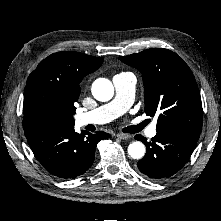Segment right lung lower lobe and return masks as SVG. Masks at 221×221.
<instances>
[{
  "label": "right lung lower lobe",
  "mask_w": 221,
  "mask_h": 221,
  "mask_svg": "<svg viewBox=\"0 0 221 221\" xmlns=\"http://www.w3.org/2000/svg\"><path fill=\"white\" fill-rule=\"evenodd\" d=\"M24 128L27 141L43 167L66 179L85 173L94 161L97 143L110 137L102 131H74V127L33 124Z\"/></svg>",
  "instance_id": "1"
}]
</instances>
